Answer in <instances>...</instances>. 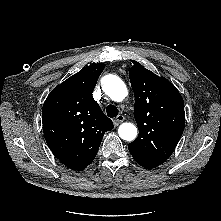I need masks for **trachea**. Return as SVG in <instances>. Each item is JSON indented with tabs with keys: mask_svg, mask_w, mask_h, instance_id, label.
Segmentation results:
<instances>
[{
	"mask_svg": "<svg viewBox=\"0 0 221 221\" xmlns=\"http://www.w3.org/2000/svg\"><path fill=\"white\" fill-rule=\"evenodd\" d=\"M106 113L108 117H116L118 115V109L114 105H108L106 108Z\"/></svg>",
	"mask_w": 221,
	"mask_h": 221,
	"instance_id": "trachea-1",
	"label": "trachea"
}]
</instances>
